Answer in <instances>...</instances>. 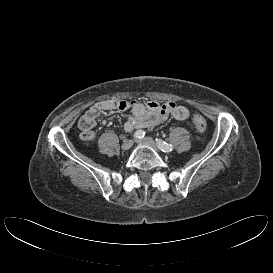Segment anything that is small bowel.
<instances>
[{
  "mask_svg": "<svg viewBox=\"0 0 273 273\" xmlns=\"http://www.w3.org/2000/svg\"><path fill=\"white\" fill-rule=\"evenodd\" d=\"M107 110L126 111L130 115L124 124V129L131 132L134 129L151 128L168 117L182 121L189 117V110L174 102L166 101L158 103L150 101L142 103L127 100H106L97 102L91 106L79 119L80 138L83 141H92L95 137L93 128L96 125L98 116Z\"/></svg>",
  "mask_w": 273,
  "mask_h": 273,
  "instance_id": "1",
  "label": "small bowel"
}]
</instances>
